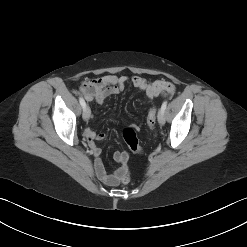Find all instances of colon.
Masks as SVG:
<instances>
[{
  "instance_id": "1",
  "label": "colon",
  "mask_w": 247,
  "mask_h": 247,
  "mask_svg": "<svg viewBox=\"0 0 247 247\" xmlns=\"http://www.w3.org/2000/svg\"><path fill=\"white\" fill-rule=\"evenodd\" d=\"M156 115L157 110L155 108L150 109V111L148 112L146 121L150 128H153L156 124ZM123 138L130 150H132L134 153L142 152V149L139 145V140L136 135L135 127H127L126 129H124ZM121 182L123 184H128L130 182V176L128 173H124L121 176Z\"/></svg>"
}]
</instances>
